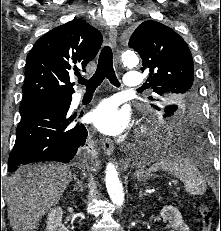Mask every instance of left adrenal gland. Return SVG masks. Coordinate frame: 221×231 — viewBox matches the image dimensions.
<instances>
[{
    "label": "left adrenal gland",
    "mask_w": 221,
    "mask_h": 231,
    "mask_svg": "<svg viewBox=\"0 0 221 231\" xmlns=\"http://www.w3.org/2000/svg\"><path fill=\"white\" fill-rule=\"evenodd\" d=\"M145 195H147V194L144 193V192L142 191V189L140 188V190H139V200H141V199L143 198V196H145Z\"/></svg>",
    "instance_id": "left-adrenal-gland-1"
}]
</instances>
